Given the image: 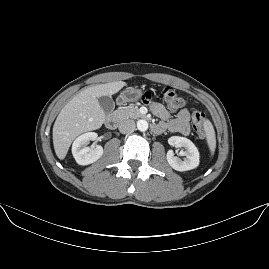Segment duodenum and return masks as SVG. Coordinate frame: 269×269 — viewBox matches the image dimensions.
Returning <instances> with one entry per match:
<instances>
[{
    "label": "duodenum",
    "instance_id": "1",
    "mask_svg": "<svg viewBox=\"0 0 269 269\" xmlns=\"http://www.w3.org/2000/svg\"><path fill=\"white\" fill-rule=\"evenodd\" d=\"M105 125L108 129H115L117 126V118L114 115L107 116L105 120ZM152 129L156 132L158 131L159 127L157 124L152 125Z\"/></svg>",
    "mask_w": 269,
    "mask_h": 269
}]
</instances>
